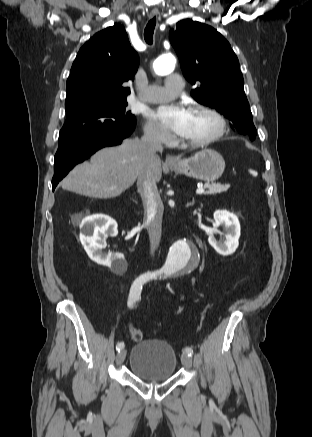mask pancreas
<instances>
[{
  "instance_id": "pancreas-1",
  "label": "pancreas",
  "mask_w": 312,
  "mask_h": 437,
  "mask_svg": "<svg viewBox=\"0 0 312 437\" xmlns=\"http://www.w3.org/2000/svg\"><path fill=\"white\" fill-rule=\"evenodd\" d=\"M205 187L208 189L204 194L206 195H214L222 192H226L229 189V185H221L219 183H207Z\"/></svg>"
}]
</instances>
